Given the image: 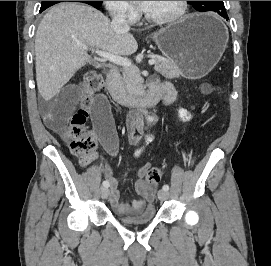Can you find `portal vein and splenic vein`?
Listing matches in <instances>:
<instances>
[{
  "instance_id": "18ae733b",
  "label": "portal vein and splenic vein",
  "mask_w": 271,
  "mask_h": 266,
  "mask_svg": "<svg viewBox=\"0 0 271 266\" xmlns=\"http://www.w3.org/2000/svg\"><path fill=\"white\" fill-rule=\"evenodd\" d=\"M85 49H88L87 46H84ZM93 52H95L97 55H99L100 57L114 63V64H117V65H121V66H124V67H130L132 66V62L130 60H128L127 58H123V57H120V56H115V55H112L108 52H105V51H102V50H94L92 49ZM148 64L150 66H153L156 64V61L154 59H151L148 61Z\"/></svg>"
}]
</instances>
